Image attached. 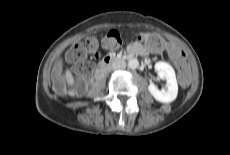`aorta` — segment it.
I'll return each mask as SVG.
<instances>
[{
  "label": "aorta",
  "instance_id": "1",
  "mask_svg": "<svg viewBox=\"0 0 230 155\" xmlns=\"http://www.w3.org/2000/svg\"><path fill=\"white\" fill-rule=\"evenodd\" d=\"M128 67L131 69H136L139 67V61L137 59H130L128 61Z\"/></svg>",
  "mask_w": 230,
  "mask_h": 155
}]
</instances>
